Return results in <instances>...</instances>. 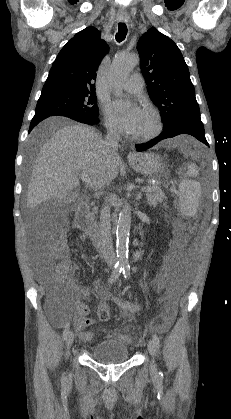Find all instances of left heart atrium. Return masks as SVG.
Masks as SVG:
<instances>
[{
	"label": "left heart atrium",
	"instance_id": "1",
	"mask_svg": "<svg viewBox=\"0 0 231 419\" xmlns=\"http://www.w3.org/2000/svg\"><path fill=\"white\" fill-rule=\"evenodd\" d=\"M111 114L122 129L135 134L144 115V110L138 105L124 108L121 102H115L111 106Z\"/></svg>",
	"mask_w": 231,
	"mask_h": 419
}]
</instances>
